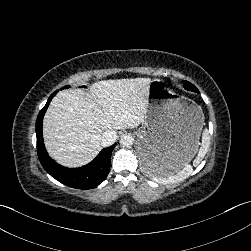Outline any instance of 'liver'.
<instances>
[{
  "instance_id": "6515ba94",
  "label": "liver",
  "mask_w": 251,
  "mask_h": 251,
  "mask_svg": "<svg viewBox=\"0 0 251 251\" xmlns=\"http://www.w3.org/2000/svg\"><path fill=\"white\" fill-rule=\"evenodd\" d=\"M150 81L149 77L108 79L92 83L87 91H60L43 118V141L51 159L65 168H81L101 152L105 130L139 126L145 120Z\"/></svg>"
}]
</instances>
